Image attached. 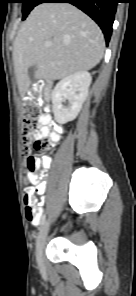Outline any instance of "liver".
Instances as JSON below:
<instances>
[{"label":"liver","instance_id":"6515ba94","mask_svg":"<svg viewBox=\"0 0 136 296\" xmlns=\"http://www.w3.org/2000/svg\"><path fill=\"white\" fill-rule=\"evenodd\" d=\"M49 42V47L45 43ZM104 36L98 25L69 3L37 5L22 24L14 41L13 61L20 94L35 79L59 80L95 67L103 57Z\"/></svg>","mask_w":136,"mask_h":296}]
</instances>
